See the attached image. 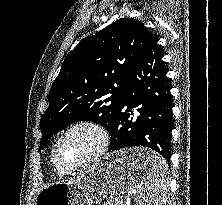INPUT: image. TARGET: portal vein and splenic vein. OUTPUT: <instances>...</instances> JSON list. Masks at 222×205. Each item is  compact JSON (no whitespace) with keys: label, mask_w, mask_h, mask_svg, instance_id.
I'll return each instance as SVG.
<instances>
[{"label":"portal vein and splenic vein","mask_w":222,"mask_h":205,"mask_svg":"<svg viewBox=\"0 0 222 205\" xmlns=\"http://www.w3.org/2000/svg\"><path fill=\"white\" fill-rule=\"evenodd\" d=\"M132 194H136V190H132L131 192H129V195H132ZM122 202L124 201L125 202V200H121Z\"/></svg>","instance_id":"1"}]
</instances>
